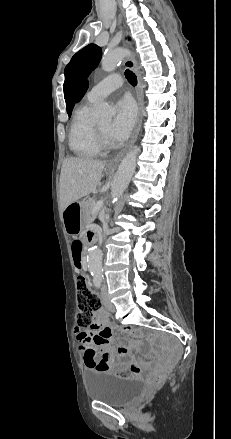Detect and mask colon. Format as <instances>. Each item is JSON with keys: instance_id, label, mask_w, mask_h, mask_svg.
<instances>
[{"instance_id": "1", "label": "colon", "mask_w": 231, "mask_h": 439, "mask_svg": "<svg viewBox=\"0 0 231 439\" xmlns=\"http://www.w3.org/2000/svg\"><path fill=\"white\" fill-rule=\"evenodd\" d=\"M76 289L78 294L79 315L78 322L84 328H90L94 322L96 312L100 308V300L97 294L90 288L85 276L79 275L76 278ZM123 333H140L137 329L131 326H123L120 328ZM87 365L90 368L103 369L106 367L104 362L95 364L90 357H87ZM139 371L137 366L132 367V372ZM167 378V373L160 374L154 381V384H159Z\"/></svg>"}]
</instances>
